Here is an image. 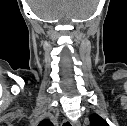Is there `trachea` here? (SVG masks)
Masks as SVG:
<instances>
[{"label": "trachea", "mask_w": 127, "mask_h": 126, "mask_svg": "<svg viewBox=\"0 0 127 126\" xmlns=\"http://www.w3.org/2000/svg\"><path fill=\"white\" fill-rule=\"evenodd\" d=\"M63 126H70V123L66 122V123L63 124Z\"/></svg>", "instance_id": "3493384b"}]
</instances>
